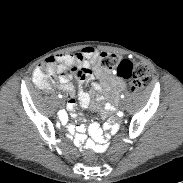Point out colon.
<instances>
[{"mask_svg":"<svg viewBox=\"0 0 183 183\" xmlns=\"http://www.w3.org/2000/svg\"><path fill=\"white\" fill-rule=\"evenodd\" d=\"M99 64L103 69L112 70L119 78L129 81L130 89L134 92L142 90L149 78V68L146 64L135 62L131 59H123L114 53H101L99 56ZM76 71L77 69L72 67L65 72L70 73ZM77 72L78 75L84 73L82 69ZM53 74L54 72L50 66L42 64L35 70L33 79L40 88L48 90ZM85 159L88 162L95 161V152H86Z\"/></svg>","mask_w":183,"mask_h":183,"instance_id":"5ec220e1","label":"colon"}]
</instances>
